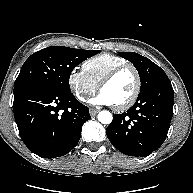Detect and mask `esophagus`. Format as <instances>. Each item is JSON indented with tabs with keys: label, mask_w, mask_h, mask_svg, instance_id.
Masks as SVG:
<instances>
[{
	"label": "esophagus",
	"mask_w": 193,
	"mask_h": 193,
	"mask_svg": "<svg viewBox=\"0 0 193 193\" xmlns=\"http://www.w3.org/2000/svg\"><path fill=\"white\" fill-rule=\"evenodd\" d=\"M89 112H90V115H91L92 117H94V116H96V114L98 113V110L91 108V109L89 110Z\"/></svg>",
	"instance_id": "34e87169"
}]
</instances>
